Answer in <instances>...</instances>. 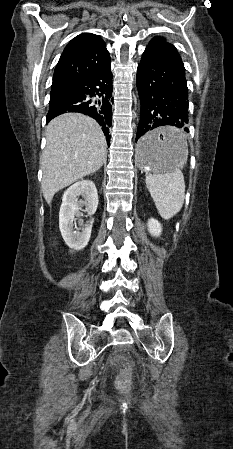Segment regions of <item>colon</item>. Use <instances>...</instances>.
<instances>
[{
  "label": "colon",
  "instance_id": "colon-1",
  "mask_svg": "<svg viewBox=\"0 0 233 449\" xmlns=\"http://www.w3.org/2000/svg\"><path fill=\"white\" fill-rule=\"evenodd\" d=\"M116 388L121 394H129L132 390L131 375L128 371H123L117 379Z\"/></svg>",
  "mask_w": 233,
  "mask_h": 449
}]
</instances>
